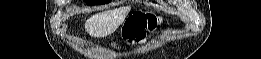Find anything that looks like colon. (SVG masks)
Here are the masks:
<instances>
[{
	"label": "colon",
	"mask_w": 261,
	"mask_h": 59,
	"mask_svg": "<svg viewBox=\"0 0 261 59\" xmlns=\"http://www.w3.org/2000/svg\"><path fill=\"white\" fill-rule=\"evenodd\" d=\"M157 23L158 21L155 16L142 14L133 22L129 35L137 41H141L148 32L156 28Z\"/></svg>",
	"instance_id": "colon-1"
}]
</instances>
